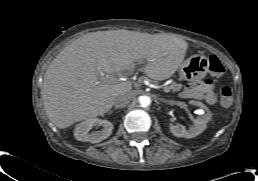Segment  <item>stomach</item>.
<instances>
[{"label":"stomach","instance_id":"stomach-1","mask_svg":"<svg viewBox=\"0 0 258 181\" xmlns=\"http://www.w3.org/2000/svg\"><path fill=\"white\" fill-rule=\"evenodd\" d=\"M208 68V58L201 54H195L183 61L178 71L183 80L193 81L205 77Z\"/></svg>","mask_w":258,"mask_h":181}]
</instances>
